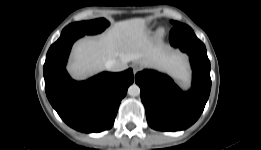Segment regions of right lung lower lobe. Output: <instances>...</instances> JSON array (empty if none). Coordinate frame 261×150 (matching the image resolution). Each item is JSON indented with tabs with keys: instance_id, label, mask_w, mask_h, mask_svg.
I'll use <instances>...</instances> for the list:
<instances>
[{
	"instance_id": "1",
	"label": "right lung lower lobe",
	"mask_w": 261,
	"mask_h": 150,
	"mask_svg": "<svg viewBox=\"0 0 261 150\" xmlns=\"http://www.w3.org/2000/svg\"><path fill=\"white\" fill-rule=\"evenodd\" d=\"M84 34L64 33L50 47L43 66L45 91L53 108L72 128L94 133L112 127L122 98L134 81L132 69L103 72L87 81L70 78L65 66L72 44Z\"/></svg>"
}]
</instances>
